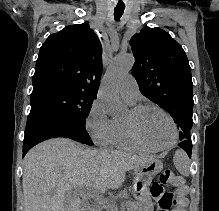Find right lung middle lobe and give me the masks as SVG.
Returning <instances> with one entry per match:
<instances>
[{"label": "right lung middle lobe", "instance_id": "obj_1", "mask_svg": "<svg viewBox=\"0 0 219 211\" xmlns=\"http://www.w3.org/2000/svg\"><path fill=\"white\" fill-rule=\"evenodd\" d=\"M96 95L62 86L49 85L32 92L31 110L45 109L85 126Z\"/></svg>", "mask_w": 219, "mask_h": 211}]
</instances>
